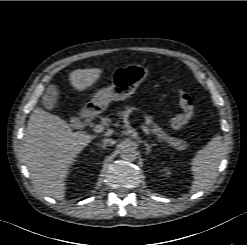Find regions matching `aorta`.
<instances>
[{
    "mask_svg": "<svg viewBox=\"0 0 247 245\" xmlns=\"http://www.w3.org/2000/svg\"><path fill=\"white\" fill-rule=\"evenodd\" d=\"M121 158L125 161L132 162L137 158L136 149L128 144H125L121 150Z\"/></svg>",
    "mask_w": 247,
    "mask_h": 245,
    "instance_id": "1",
    "label": "aorta"
}]
</instances>
